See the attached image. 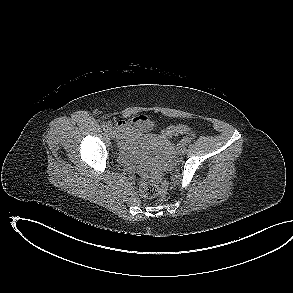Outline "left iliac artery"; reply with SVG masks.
Here are the masks:
<instances>
[{
    "instance_id": "left-iliac-artery-1",
    "label": "left iliac artery",
    "mask_w": 293,
    "mask_h": 293,
    "mask_svg": "<svg viewBox=\"0 0 293 293\" xmlns=\"http://www.w3.org/2000/svg\"><path fill=\"white\" fill-rule=\"evenodd\" d=\"M189 143H190V140H189V139H184V140H183V144H184V145H188Z\"/></svg>"
}]
</instances>
